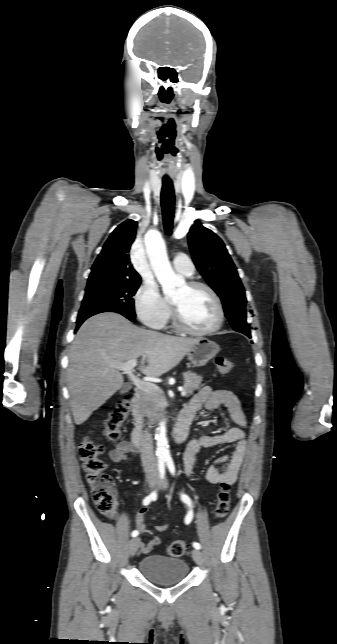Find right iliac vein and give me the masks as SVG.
<instances>
[{
	"mask_svg": "<svg viewBox=\"0 0 337 644\" xmlns=\"http://www.w3.org/2000/svg\"><path fill=\"white\" fill-rule=\"evenodd\" d=\"M156 482H157L156 476H154V475L149 476L148 483H149V486L151 488H153L155 486ZM139 545H140V538L137 537V538H133V539L130 540V542H129V554H130V556L135 555V553L137 552V550L139 548Z\"/></svg>",
	"mask_w": 337,
	"mask_h": 644,
	"instance_id": "1",
	"label": "right iliac vein"
}]
</instances>
